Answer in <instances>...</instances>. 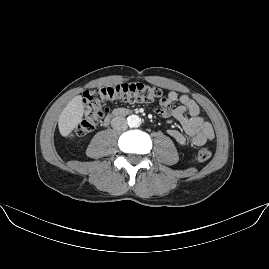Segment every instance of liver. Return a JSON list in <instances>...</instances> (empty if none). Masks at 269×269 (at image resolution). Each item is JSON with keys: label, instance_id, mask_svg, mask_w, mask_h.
<instances>
[{"label": "liver", "instance_id": "liver-1", "mask_svg": "<svg viewBox=\"0 0 269 269\" xmlns=\"http://www.w3.org/2000/svg\"><path fill=\"white\" fill-rule=\"evenodd\" d=\"M84 113L82 96H75L63 109L58 120L59 131L62 136H68L80 123Z\"/></svg>", "mask_w": 269, "mask_h": 269}]
</instances>
